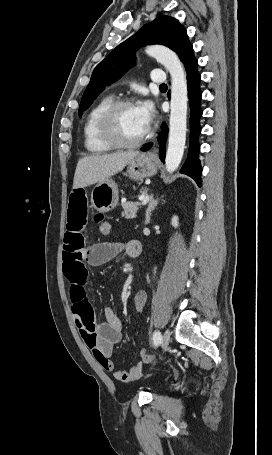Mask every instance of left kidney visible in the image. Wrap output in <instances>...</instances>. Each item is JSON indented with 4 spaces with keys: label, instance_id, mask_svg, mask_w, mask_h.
<instances>
[{
    "label": "left kidney",
    "instance_id": "1",
    "mask_svg": "<svg viewBox=\"0 0 272 455\" xmlns=\"http://www.w3.org/2000/svg\"><path fill=\"white\" fill-rule=\"evenodd\" d=\"M172 226L174 227H177L178 226V217L177 216H173L172 217Z\"/></svg>",
    "mask_w": 272,
    "mask_h": 455
}]
</instances>
